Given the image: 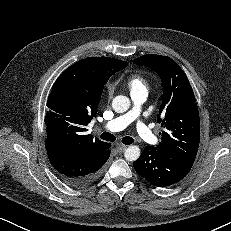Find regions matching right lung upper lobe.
I'll return each instance as SVG.
<instances>
[{"instance_id":"obj_1","label":"right lung upper lobe","mask_w":231,"mask_h":231,"mask_svg":"<svg viewBox=\"0 0 231 231\" xmlns=\"http://www.w3.org/2000/svg\"><path fill=\"white\" fill-rule=\"evenodd\" d=\"M126 62L109 57H89L69 68L79 80L81 95L68 101L48 99L46 145L72 156H89L106 149L107 143L86 135V126L96 115L103 87Z\"/></svg>"}]
</instances>
